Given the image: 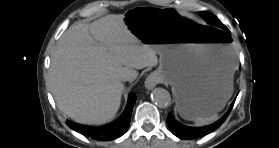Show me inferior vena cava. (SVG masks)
Listing matches in <instances>:
<instances>
[{
    "mask_svg": "<svg viewBox=\"0 0 279 148\" xmlns=\"http://www.w3.org/2000/svg\"><path fill=\"white\" fill-rule=\"evenodd\" d=\"M121 81H129L131 77L128 74H123L120 77Z\"/></svg>",
    "mask_w": 279,
    "mask_h": 148,
    "instance_id": "1",
    "label": "inferior vena cava"
}]
</instances>
